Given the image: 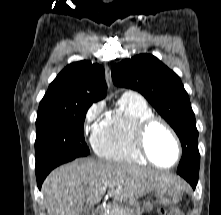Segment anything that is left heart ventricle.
I'll return each instance as SVG.
<instances>
[{
	"mask_svg": "<svg viewBox=\"0 0 221 215\" xmlns=\"http://www.w3.org/2000/svg\"><path fill=\"white\" fill-rule=\"evenodd\" d=\"M147 147L152 158L160 165H171L177 155L176 145L161 125H154L147 135Z\"/></svg>",
	"mask_w": 221,
	"mask_h": 215,
	"instance_id": "1",
	"label": "left heart ventricle"
}]
</instances>
